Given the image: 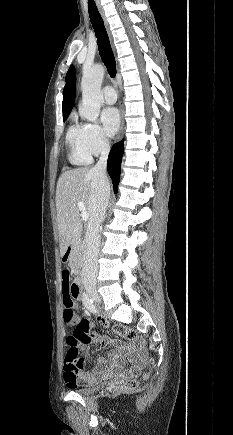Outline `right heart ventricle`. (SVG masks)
<instances>
[{
	"instance_id": "e07e8e85",
	"label": "right heart ventricle",
	"mask_w": 233,
	"mask_h": 435,
	"mask_svg": "<svg viewBox=\"0 0 233 435\" xmlns=\"http://www.w3.org/2000/svg\"><path fill=\"white\" fill-rule=\"evenodd\" d=\"M66 141L70 149L69 160L74 165L85 166L92 161L86 147V124L74 119L67 131Z\"/></svg>"
}]
</instances>
